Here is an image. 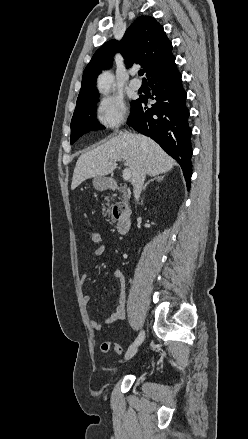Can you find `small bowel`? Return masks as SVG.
<instances>
[{"label":"small bowel","instance_id":"small-bowel-1","mask_svg":"<svg viewBox=\"0 0 248 439\" xmlns=\"http://www.w3.org/2000/svg\"><path fill=\"white\" fill-rule=\"evenodd\" d=\"M105 252V246L100 245L98 246L94 252V257H99L103 255ZM86 274H83L81 281L82 283L85 281ZM113 278L119 283L120 286V295H119V304L117 308L106 318L105 324H113L116 322H119L123 319H125L126 313H125V300H126V294H125V277L121 270L116 269L113 271ZM91 300L90 296L84 297V302L88 304ZM90 326L93 330L99 331L102 329V324L96 320H90Z\"/></svg>","mask_w":248,"mask_h":439}]
</instances>
